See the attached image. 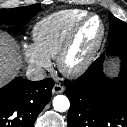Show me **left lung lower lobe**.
<instances>
[{"label": "left lung lower lobe", "instance_id": "1", "mask_svg": "<svg viewBox=\"0 0 127 127\" xmlns=\"http://www.w3.org/2000/svg\"><path fill=\"white\" fill-rule=\"evenodd\" d=\"M121 59L118 78L108 79L103 72L106 56ZM70 100L69 127H127V40L108 46L78 79L66 84Z\"/></svg>", "mask_w": 127, "mask_h": 127}]
</instances>
